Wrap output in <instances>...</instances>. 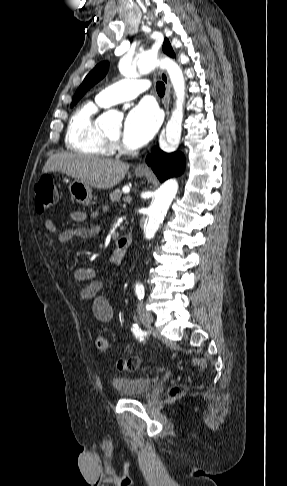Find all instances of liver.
I'll return each mask as SVG.
<instances>
[{
  "instance_id": "liver-1",
  "label": "liver",
  "mask_w": 287,
  "mask_h": 486,
  "mask_svg": "<svg viewBox=\"0 0 287 486\" xmlns=\"http://www.w3.org/2000/svg\"><path fill=\"white\" fill-rule=\"evenodd\" d=\"M129 170V164L78 153H58L48 158L42 172L58 171L98 189L117 185Z\"/></svg>"
}]
</instances>
